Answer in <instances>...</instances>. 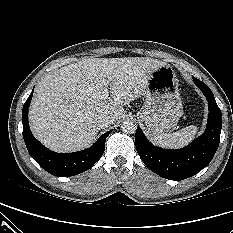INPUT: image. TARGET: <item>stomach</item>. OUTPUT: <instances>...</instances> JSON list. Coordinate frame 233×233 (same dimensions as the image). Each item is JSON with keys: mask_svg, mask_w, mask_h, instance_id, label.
<instances>
[{"mask_svg": "<svg viewBox=\"0 0 233 233\" xmlns=\"http://www.w3.org/2000/svg\"><path fill=\"white\" fill-rule=\"evenodd\" d=\"M178 79L169 65H162L150 74L145 105L138 112L152 136L173 131L183 115Z\"/></svg>", "mask_w": 233, "mask_h": 233, "instance_id": "0dacf381", "label": "stomach"}]
</instances>
